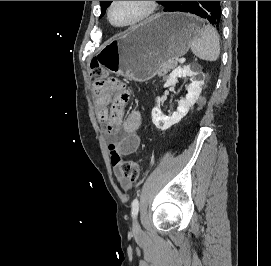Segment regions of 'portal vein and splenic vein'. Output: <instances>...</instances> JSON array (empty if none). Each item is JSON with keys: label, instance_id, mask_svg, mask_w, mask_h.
I'll return each mask as SVG.
<instances>
[{"label": "portal vein and splenic vein", "instance_id": "portal-vein-and-splenic-vein-1", "mask_svg": "<svg viewBox=\"0 0 271 266\" xmlns=\"http://www.w3.org/2000/svg\"><path fill=\"white\" fill-rule=\"evenodd\" d=\"M178 62L181 63V64L184 63V62H185V58H180V59L178 60Z\"/></svg>", "mask_w": 271, "mask_h": 266}]
</instances>
